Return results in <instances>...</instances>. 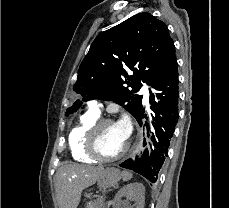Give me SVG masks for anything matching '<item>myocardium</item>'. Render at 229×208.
Returning a JSON list of instances; mask_svg holds the SVG:
<instances>
[{"mask_svg":"<svg viewBox=\"0 0 229 208\" xmlns=\"http://www.w3.org/2000/svg\"><path fill=\"white\" fill-rule=\"evenodd\" d=\"M106 124H116V123L114 120L109 118H98L89 126L87 131L88 143L85 144L86 148L82 149L83 153H88L87 154L88 158H98L103 161H115L125 157L129 152L131 148V143L129 141H127L126 145L120 152L115 153V157H102V152L96 151L97 148L96 139H101L100 131L101 128Z\"/></svg>","mask_w":229,"mask_h":208,"instance_id":"f54148a6","label":"myocardium"}]
</instances>
